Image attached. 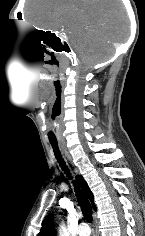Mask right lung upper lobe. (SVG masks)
<instances>
[{"mask_svg": "<svg viewBox=\"0 0 145 236\" xmlns=\"http://www.w3.org/2000/svg\"><path fill=\"white\" fill-rule=\"evenodd\" d=\"M77 181L84 190L85 194L87 197L90 199L93 209L96 210V206L94 204V199H93V194L91 190L89 189V186L87 185L86 181L84 178L80 175L77 177ZM56 231L54 228V222H53V214H49L42 222V228L37 236H55Z\"/></svg>", "mask_w": 145, "mask_h": 236, "instance_id": "obj_1", "label": "right lung upper lobe"}]
</instances>
